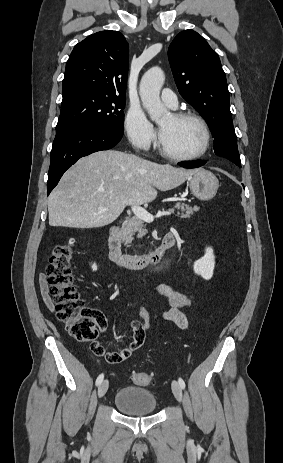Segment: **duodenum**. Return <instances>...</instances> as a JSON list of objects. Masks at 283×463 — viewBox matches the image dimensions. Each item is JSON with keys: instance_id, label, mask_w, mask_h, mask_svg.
I'll list each match as a JSON object with an SVG mask.
<instances>
[{"instance_id": "1", "label": "duodenum", "mask_w": 283, "mask_h": 463, "mask_svg": "<svg viewBox=\"0 0 283 463\" xmlns=\"http://www.w3.org/2000/svg\"><path fill=\"white\" fill-rule=\"evenodd\" d=\"M175 235L167 233L154 252L148 255L135 256L121 250L122 233L118 226L109 227V257L119 267L142 270L149 265L157 266L164 261L166 252L175 244Z\"/></svg>"}]
</instances>
